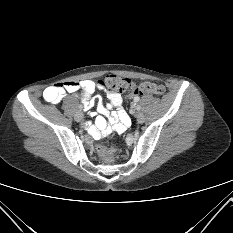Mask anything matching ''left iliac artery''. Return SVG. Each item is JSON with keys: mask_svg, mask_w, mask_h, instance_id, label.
I'll return each instance as SVG.
<instances>
[{"mask_svg": "<svg viewBox=\"0 0 233 233\" xmlns=\"http://www.w3.org/2000/svg\"><path fill=\"white\" fill-rule=\"evenodd\" d=\"M135 101L138 102L139 101V97H135ZM140 109H141V107L139 105L136 106V110L139 111Z\"/></svg>", "mask_w": 233, "mask_h": 233, "instance_id": "44dca946", "label": "left iliac artery"}]
</instances>
